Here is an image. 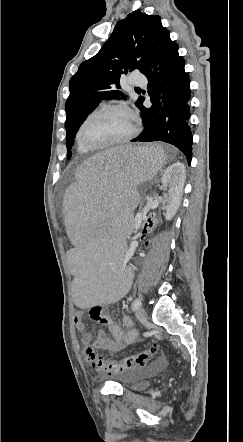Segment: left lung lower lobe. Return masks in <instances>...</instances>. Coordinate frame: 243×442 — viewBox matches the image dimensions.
<instances>
[{"label":"left lung lower lobe","instance_id":"1","mask_svg":"<svg viewBox=\"0 0 243 442\" xmlns=\"http://www.w3.org/2000/svg\"><path fill=\"white\" fill-rule=\"evenodd\" d=\"M151 65L155 72L148 68L143 73L148 79V94L152 106L139 109L142 112L143 132L132 142L163 141L180 149L190 165L192 158V133L187 120L190 117L189 100L191 97L190 79L185 72V62L178 54V45L167 36L153 58ZM160 84L163 105L159 104ZM144 101V98H143ZM142 101V102H143Z\"/></svg>","mask_w":243,"mask_h":442}]
</instances>
